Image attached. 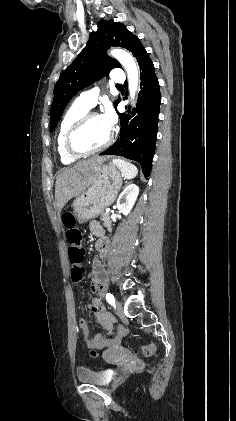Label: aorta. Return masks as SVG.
<instances>
[{
    "instance_id": "obj_1",
    "label": "aorta",
    "mask_w": 236,
    "mask_h": 421,
    "mask_svg": "<svg viewBox=\"0 0 236 421\" xmlns=\"http://www.w3.org/2000/svg\"><path fill=\"white\" fill-rule=\"evenodd\" d=\"M111 54L112 56H115V58H118L119 62L123 64L127 72L131 104H134V98L139 84V70L136 60L133 56H131V54H129V52L122 50V48H113V50H111Z\"/></svg>"
}]
</instances>
